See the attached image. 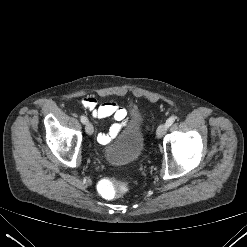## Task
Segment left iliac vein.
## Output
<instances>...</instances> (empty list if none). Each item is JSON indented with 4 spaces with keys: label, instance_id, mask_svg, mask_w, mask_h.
Listing matches in <instances>:
<instances>
[{
    "label": "left iliac vein",
    "instance_id": "4c4485c4",
    "mask_svg": "<svg viewBox=\"0 0 247 247\" xmlns=\"http://www.w3.org/2000/svg\"><path fill=\"white\" fill-rule=\"evenodd\" d=\"M167 125L166 123L164 124H161L158 128H157V131H156V135L158 138H161L167 131Z\"/></svg>",
    "mask_w": 247,
    "mask_h": 247
}]
</instances>
